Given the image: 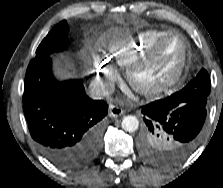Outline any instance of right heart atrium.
I'll return each instance as SVG.
<instances>
[{
    "instance_id": "1",
    "label": "right heart atrium",
    "mask_w": 223,
    "mask_h": 188,
    "mask_svg": "<svg viewBox=\"0 0 223 188\" xmlns=\"http://www.w3.org/2000/svg\"><path fill=\"white\" fill-rule=\"evenodd\" d=\"M93 70L95 79L105 88L110 89L112 82L116 79L117 72L104 58L95 55L93 59Z\"/></svg>"
}]
</instances>
